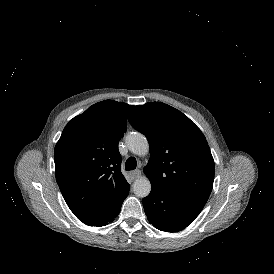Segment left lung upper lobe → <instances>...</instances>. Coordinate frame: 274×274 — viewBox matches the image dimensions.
<instances>
[{"instance_id": "1", "label": "left lung upper lobe", "mask_w": 274, "mask_h": 274, "mask_svg": "<svg viewBox=\"0 0 274 274\" xmlns=\"http://www.w3.org/2000/svg\"><path fill=\"white\" fill-rule=\"evenodd\" d=\"M128 120L148 139L151 158L144 172L151 185L205 205L213 187L214 160L200 129L161 102L135 106Z\"/></svg>"}]
</instances>
